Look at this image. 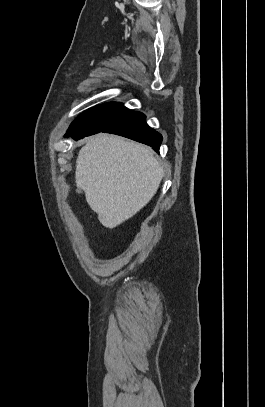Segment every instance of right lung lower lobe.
<instances>
[{"mask_svg": "<svg viewBox=\"0 0 265 407\" xmlns=\"http://www.w3.org/2000/svg\"><path fill=\"white\" fill-rule=\"evenodd\" d=\"M145 119L146 117L143 113L132 112L125 118L102 130V132L117 134L130 138L132 140L149 145L155 151H158L162 142V136L154 129L150 128L147 125ZM65 137L80 139L76 138V136L71 135Z\"/></svg>", "mask_w": 265, "mask_h": 407, "instance_id": "obj_1", "label": "right lung lower lobe"}]
</instances>
